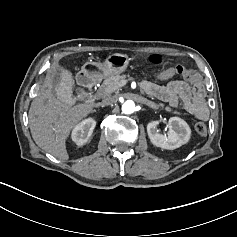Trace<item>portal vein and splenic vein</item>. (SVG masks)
Here are the masks:
<instances>
[{
  "instance_id": "obj_1",
  "label": "portal vein and splenic vein",
  "mask_w": 237,
  "mask_h": 237,
  "mask_svg": "<svg viewBox=\"0 0 237 237\" xmlns=\"http://www.w3.org/2000/svg\"><path fill=\"white\" fill-rule=\"evenodd\" d=\"M127 82H126V80L123 78L122 80H121V82H120V86L122 87L124 84H126Z\"/></svg>"
}]
</instances>
